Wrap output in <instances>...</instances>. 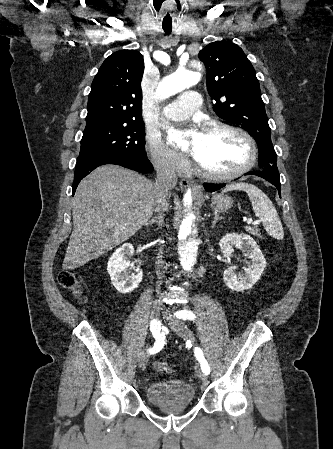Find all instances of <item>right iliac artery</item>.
Listing matches in <instances>:
<instances>
[{"instance_id": "obj_1", "label": "right iliac artery", "mask_w": 333, "mask_h": 449, "mask_svg": "<svg viewBox=\"0 0 333 449\" xmlns=\"http://www.w3.org/2000/svg\"><path fill=\"white\" fill-rule=\"evenodd\" d=\"M160 321H151L150 324V330L153 334V337L156 339L154 346L152 348L149 349V353L150 354H155L157 352H159L163 346H164V341H163V336L160 333Z\"/></svg>"}]
</instances>
